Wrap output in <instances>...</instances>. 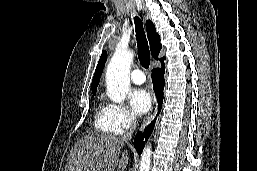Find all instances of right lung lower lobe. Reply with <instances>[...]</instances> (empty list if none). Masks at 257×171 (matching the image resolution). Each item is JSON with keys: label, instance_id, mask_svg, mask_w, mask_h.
<instances>
[{"label": "right lung lower lobe", "instance_id": "obj_1", "mask_svg": "<svg viewBox=\"0 0 257 171\" xmlns=\"http://www.w3.org/2000/svg\"><path fill=\"white\" fill-rule=\"evenodd\" d=\"M164 65V63H162ZM164 68L162 69H155L152 74V81L154 91L156 92L157 99L159 101V110L161 109L162 101H163V88H164ZM155 125V120L151 122L150 125L146 127L144 133H138L134 140V147L138 154L142 153V150L145 146V142L148 140L149 136L151 135L153 128Z\"/></svg>", "mask_w": 257, "mask_h": 171}]
</instances>
